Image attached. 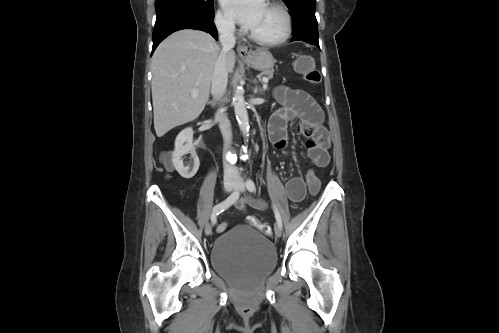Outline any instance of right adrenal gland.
I'll return each instance as SVG.
<instances>
[{"mask_svg": "<svg viewBox=\"0 0 499 333\" xmlns=\"http://www.w3.org/2000/svg\"><path fill=\"white\" fill-rule=\"evenodd\" d=\"M215 103H216V100H215V99H213V100H211V101H208V104H211L212 106H214V105H215Z\"/></svg>", "mask_w": 499, "mask_h": 333, "instance_id": "2a0ac1e0", "label": "right adrenal gland"}]
</instances>
